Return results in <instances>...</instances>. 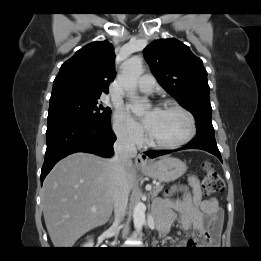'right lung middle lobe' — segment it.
<instances>
[{
    "label": "right lung middle lobe",
    "mask_w": 261,
    "mask_h": 261,
    "mask_svg": "<svg viewBox=\"0 0 261 261\" xmlns=\"http://www.w3.org/2000/svg\"><path fill=\"white\" fill-rule=\"evenodd\" d=\"M100 96L77 92L51 94L48 124L66 120H84L110 124L111 110L99 103Z\"/></svg>",
    "instance_id": "right-lung-middle-lobe-1"
}]
</instances>
